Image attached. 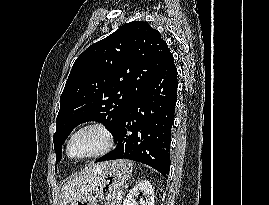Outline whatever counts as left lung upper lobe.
<instances>
[{"label":"left lung upper lobe","mask_w":269,"mask_h":205,"mask_svg":"<svg viewBox=\"0 0 269 205\" xmlns=\"http://www.w3.org/2000/svg\"><path fill=\"white\" fill-rule=\"evenodd\" d=\"M170 55L159 31L142 21L126 23L89 46L74 62L60 97L53 136L56 161L65 139L81 123H104L113 134Z\"/></svg>","instance_id":"5c2ea615"}]
</instances>
